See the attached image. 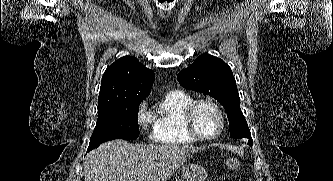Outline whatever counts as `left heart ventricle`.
Listing matches in <instances>:
<instances>
[{
    "mask_svg": "<svg viewBox=\"0 0 333 181\" xmlns=\"http://www.w3.org/2000/svg\"><path fill=\"white\" fill-rule=\"evenodd\" d=\"M194 122L197 131L203 136L214 135L220 126V119L213 107L202 104L198 107Z\"/></svg>",
    "mask_w": 333,
    "mask_h": 181,
    "instance_id": "b2bd125f",
    "label": "left heart ventricle"
}]
</instances>
